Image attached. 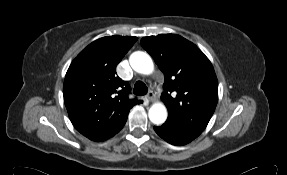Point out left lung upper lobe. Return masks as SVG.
I'll use <instances>...</instances> for the list:
<instances>
[{
	"instance_id": "left-lung-upper-lobe-1",
	"label": "left lung upper lobe",
	"mask_w": 287,
	"mask_h": 175,
	"mask_svg": "<svg viewBox=\"0 0 287 175\" xmlns=\"http://www.w3.org/2000/svg\"><path fill=\"white\" fill-rule=\"evenodd\" d=\"M141 45L164 73L161 99L169 113L165 124L195 139L218 102L211 62L195 44L175 34L143 37Z\"/></svg>"
}]
</instances>
